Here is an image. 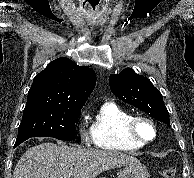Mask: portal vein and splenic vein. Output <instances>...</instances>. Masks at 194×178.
Listing matches in <instances>:
<instances>
[{
    "label": "portal vein and splenic vein",
    "instance_id": "1",
    "mask_svg": "<svg viewBox=\"0 0 194 178\" xmlns=\"http://www.w3.org/2000/svg\"><path fill=\"white\" fill-rule=\"evenodd\" d=\"M61 178H70V175H65V176H63Z\"/></svg>",
    "mask_w": 194,
    "mask_h": 178
}]
</instances>
